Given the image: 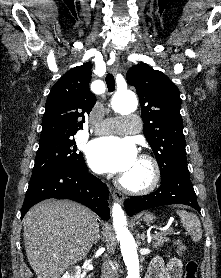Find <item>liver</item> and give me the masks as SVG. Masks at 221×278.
<instances>
[{
	"instance_id": "1",
	"label": "liver",
	"mask_w": 221,
	"mask_h": 278,
	"mask_svg": "<svg viewBox=\"0 0 221 278\" xmlns=\"http://www.w3.org/2000/svg\"><path fill=\"white\" fill-rule=\"evenodd\" d=\"M97 215L68 200H46L24 217V244L37 278H60L90 251Z\"/></svg>"
}]
</instances>
